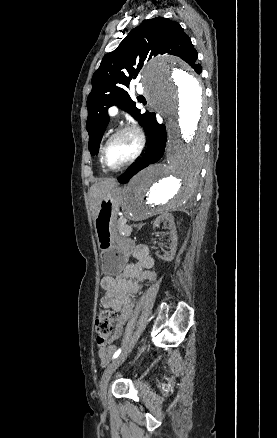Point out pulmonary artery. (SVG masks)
Returning a JSON list of instances; mask_svg holds the SVG:
<instances>
[{"mask_svg": "<svg viewBox=\"0 0 277 438\" xmlns=\"http://www.w3.org/2000/svg\"><path fill=\"white\" fill-rule=\"evenodd\" d=\"M140 80H131L130 86H139ZM119 113V107L117 105H113L108 109V114L111 117L117 116Z\"/></svg>", "mask_w": 277, "mask_h": 438, "instance_id": "obj_1", "label": "pulmonary artery"}]
</instances>
